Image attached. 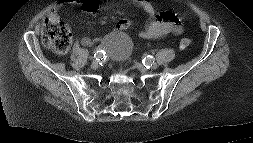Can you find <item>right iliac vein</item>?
I'll list each match as a JSON object with an SVG mask.
<instances>
[{
	"instance_id": "right-iliac-vein-1",
	"label": "right iliac vein",
	"mask_w": 253,
	"mask_h": 143,
	"mask_svg": "<svg viewBox=\"0 0 253 143\" xmlns=\"http://www.w3.org/2000/svg\"><path fill=\"white\" fill-rule=\"evenodd\" d=\"M98 67V62L97 61H93L91 64V68L92 69H96Z\"/></svg>"
}]
</instances>
